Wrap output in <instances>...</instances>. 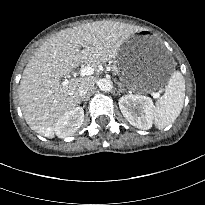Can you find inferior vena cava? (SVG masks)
<instances>
[{
	"label": "inferior vena cava",
	"instance_id": "inferior-vena-cava-1",
	"mask_svg": "<svg viewBox=\"0 0 205 205\" xmlns=\"http://www.w3.org/2000/svg\"><path fill=\"white\" fill-rule=\"evenodd\" d=\"M94 85V80L93 79H86L84 80L79 89H78V93L81 97H84L88 91H90L92 89Z\"/></svg>",
	"mask_w": 205,
	"mask_h": 205
}]
</instances>
